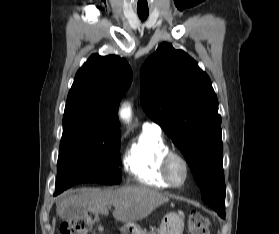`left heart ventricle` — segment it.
Masks as SVG:
<instances>
[{
    "instance_id": "left-heart-ventricle-1",
    "label": "left heart ventricle",
    "mask_w": 279,
    "mask_h": 234,
    "mask_svg": "<svg viewBox=\"0 0 279 234\" xmlns=\"http://www.w3.org/2000/svg\"><path fill=\"white\" fill-rule=\"evenodd\" d=\"M171 174L175 181L180 182L184 177V169L180 162L174 161L171 168Z\"/></svg>"
}]
</instances>
